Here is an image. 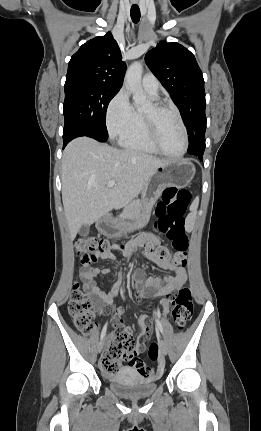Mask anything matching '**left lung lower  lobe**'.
Returning a JSON list of instances; mask_svg holds the SVG:
<instances>
[{
	"instance_id": "1",
	"label": "left lung lower lobe",
	"mask_w": 261,
	"mask_h": 431,
	"mask_svg": "<svg viewBox=\"0 0 261 431\" xmlns=\"http://www.w3.org/2000/svg\"><path fill=\"white\" fill-rule=\"evenodd\" d=\"M192 155L198 156L201 161L203 160V153H193Z\"/></svg>"
}]
</instances>
